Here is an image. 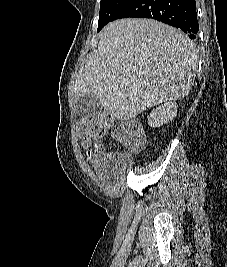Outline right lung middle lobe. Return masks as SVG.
<instances>
[{"instance_id": "right-lung-middle-lobe-1", "label": "right lung middle lobe", "mask_w": 227, "mask_h": 267, "mask_svg": "<svg viewBox=\"0 0 227 267\" xmlns=\"http://www.w3.org/2000/svg\"><path fill=\"white\" fill-rule=\"evenodd\" d=\"M127 1L128 0H101L97 29L98 32L113 19L115 14Z\"/></svg>"}]
</instances>
